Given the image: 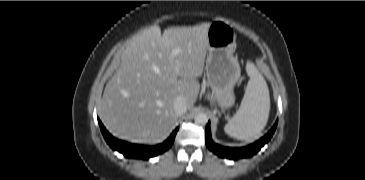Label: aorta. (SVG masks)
Instances as JSON below:
<instances>
[{"mask_svg": "<svg viewBox=\"0 0 365 180\" xmlns=\"http://www.w3.org/2000/svg\"><path fill=\"white\" fill-rule=\"evenodd\" d=\"M194 121L196 124L205 125L208 122V116L205 113H199L194 117Z\"/></svg>", "mask_w": 365, "mask_h": 180, "instance_id": "1", "label": "aorta"}]
</instances>
